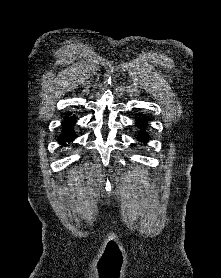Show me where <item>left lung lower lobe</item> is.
<instances>
[{
    "label": "left lung lower lobe",
    "instance_id": "left-lung-lower-lobe-1",
    "mask_svg": "<svg viewBox=\"0 0 221 278\" xmlns=\"http://www.w3.org/2000/svg\"><path fill=\"white\" fill-rule=\"evenodd\" d=\"M137 126L141 129L140 131V134L138 135L137 139L139 141H142V142H147L148 140V137H147V134L145 133V127H146V120L145 118H138L137 120Z\"/></svg>",
    "mask_w": 221,
    "mask_h": 278
}]
</instances>
